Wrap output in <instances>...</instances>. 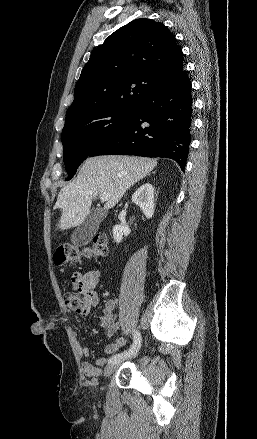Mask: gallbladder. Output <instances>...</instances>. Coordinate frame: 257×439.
Here are the masks:
<instances>
[{
	"label": "gallbladder",
	"instance_id": "gallbladder-1",
	"mask_svg": "<svg viewBox=\"0 0 257 439\" xmlns=\"http://www.w3.org/2000/svg\"><path fill=\"white\" fill-rule=\"evenodd\" d=\"M102 219L103 214L98 209H92L84 222L71 235V243L75 246L88 244L96 233Z\"/></svg>",
	"mask_w": 257,
	"mask_h": 439
}]
</instances>
